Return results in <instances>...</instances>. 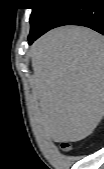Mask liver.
<instances>
[{
    "label": "liver",
    "mask_w": 104,
    "mask_h": 169,
    "mask_svg": "<svg viewBox=\"0 0 104 169\" xmlns=\"http://www.w3.org/2000/svg\"><path fill=\"white\" fill-rule=\"evenodd\" d=\"M30 54L41 136L56 142L89 136L104 115L103 36L86 27H60L35 41Z\"/></svg>",
    "instance_id": "6515ba94"
}]
</instances>
